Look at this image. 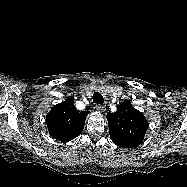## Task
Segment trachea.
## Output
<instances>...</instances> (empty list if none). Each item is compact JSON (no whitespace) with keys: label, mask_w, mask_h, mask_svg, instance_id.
Wrapping results in <instances>:
<instances>
[{"label":"trachea","mask_w":187,"mask_h":187,"mask_svg":"<svg viewBox=\"0 0 187 187\" xmlns=\"http://www.w3.org/2000/svg\"><path fill=\"white\" fill-rule=\"evenodd\" d=\"M93 102L95 104H99V105H102L104 103V99H103V96L100 92H95L93 94Z\"/></svg>","instance_id":"3493384b"}]
</instances>
